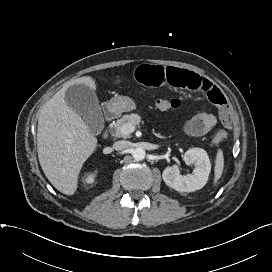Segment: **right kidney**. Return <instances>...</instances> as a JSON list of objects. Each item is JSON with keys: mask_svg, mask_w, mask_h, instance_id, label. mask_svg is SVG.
Masks as SVG:
<instances>
[{"mask_svg": "<svg viewBox=\"0 0 272 272\" xmlns=\"http://www.w3.org/2000/svg\"><path fill=\"white\" fill-rule=\"evenodd\" d=\"M95 174H89L85 177L84 182L87 184H92L95 181Z\"/></svg>", "mask_w": 272, "mask_h": 272, "instance_id": "obj_1", "label": "right kidney"}]
</instances>
